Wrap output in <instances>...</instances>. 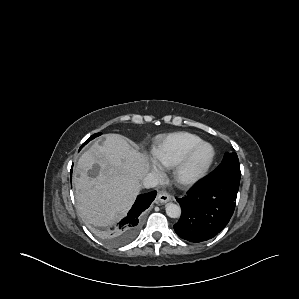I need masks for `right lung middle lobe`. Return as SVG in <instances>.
Wrapping results in <instances>:
<instances>
[{"mask_svg": "<svg viewBox=\"0 0 299 299\" xmlns=\"http://www.w3.org/2000/svg\"><path fill=\"white\" fill-rule=\"evenodd\" d=\"M101 135V133H96L94 135H92L83 145H85L87 142H89L90 140L94 139L95 137Z\"/></svg>", "mask_w": 299, "mask_h": 299, "instance_id": "dd1d6c3e", "label": "right lung middle lobe"}]
</instances>
